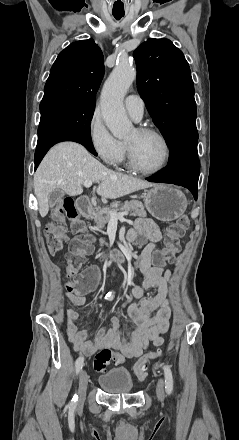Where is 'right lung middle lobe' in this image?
<instances>
[{"label": "right lung middle lobe", "mask_w": 239, "mask_h": 440, "mask_svg": "<svg viewBox=\"0 0 239 440\" xmlns=\"http://www.w3.org/2000/svg\"><path fill=\"white\" fill-rule=\"evenodd\" d=\"M95 107L73 100H52L40 104L38 136L58 129L78 130L90 134Z\"/></svg>", "instance_id": "1"}]
</instances>
